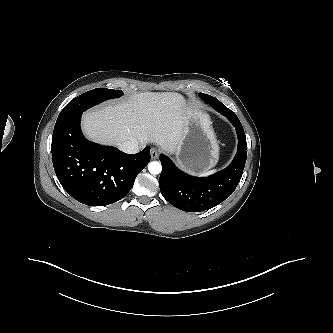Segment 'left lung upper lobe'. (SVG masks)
Listing matches in <instances>:
<instances>
[{"label":"left lung upper lobe","instance_id":"5c2ea615","mask_svg":"<svg viewBox=\"0 0 333 333\" xmlns=\"http://www.w3.org/2000/svg\"><path fill=\"white\" fill-rule=\"evenodd\" d=\"M204 96H207V94L199 93V97L203 99Z\"/></svg>","mask_w":333,"mask_h":333}]
</instances>
